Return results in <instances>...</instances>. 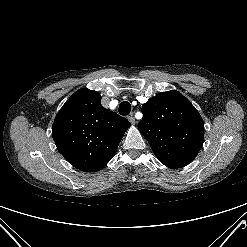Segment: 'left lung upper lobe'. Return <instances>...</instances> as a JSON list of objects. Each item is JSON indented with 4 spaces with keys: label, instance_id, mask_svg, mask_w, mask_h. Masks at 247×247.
<instances>
[{
    "label": "left lung upper lobe",
    "instance_id": "obj_1",
    "mask_svg": "<svg viewBox=\"0 0 247 247\" xmlns=\"http://www.w3.org/2000/svg\"><path fill=\"white\" fill-rule=\"evenodd\" d=\"M139 131L161 163L188 165L204 142V122L192 103L176 90L161 92L142 106Z\"/></svg>",
    "mask_w": 247,
    "mask_h": 247
}]
</instances>
